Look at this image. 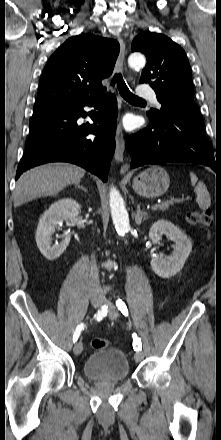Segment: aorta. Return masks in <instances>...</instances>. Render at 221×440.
I'll return each mask as SVG.
<instances>
[{"label":"aorta","instance_id":"obj_1","mask_svg":"<svg viewBox=\"0 0 221 440\" xmlns=\"http://www.w3.org/2000/svg\"><path fill=\"white\" fill-rule=\"evenodd\" d=\"M145 57L140 53H132L128 58V64L132 68L145 66ZM111 216L119 235L124 236L130 229L129 217L125 208L124 200L119 191L112 187L109 194Z\"/></svg>","mask_w":221,"mask_h":440}]
</instances>
